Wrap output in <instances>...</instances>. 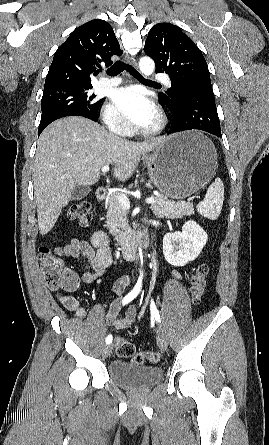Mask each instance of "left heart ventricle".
Returning <instances> with one entry per match:
<instances>
[{
	"mask_svg": "<svg viewBox=\"0 0 269 445\" xmlns=\"http://www.w3.org/2000/svg\"><path fill=\"white\" fill-rule=\"evenodd\" d=\"M155 120H156V118H155ZM155 120L150 125H148L146 128L152 126L154 124Z\"/></svg>",
	"mask_w": 269,
	"mask_h": 445,
	"instance_id": "left-heart-ventricle-1",
	"label": "left heart ventricle"
}]
</instances>
